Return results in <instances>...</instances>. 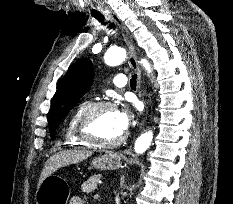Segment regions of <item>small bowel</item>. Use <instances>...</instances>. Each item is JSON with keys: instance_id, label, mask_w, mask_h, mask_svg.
<instances>
[{"instance_id": "small-bowel-1", "label": "small bowel", "mask_w": 233, "mask_h": 204, "mask_svg": "<svg viewBox=\"0 0 233 204\" xmlns=\"http://www.w3.org/2000/svg\"><path fill=\"white\" fill-rule=\"evenodd\" d=\"M70 204H83V200L76 196L71 199Z\"/></svg>"}]
</instances>
